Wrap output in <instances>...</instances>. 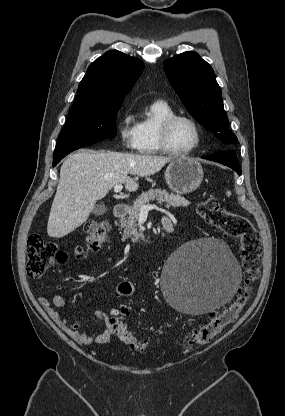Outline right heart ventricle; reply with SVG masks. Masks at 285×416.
I'll return each instance as SVG.
<instances>
[{
  "instance_id": "right-heart-ventricle-1",
  "label": "right heart ventricle",
  "mask_w": 285,
  "mask_h": 416,
  "mask_svg": "<svg viewBox=\"0 0 285 416\" xmlns=\"http://www.w3.org/2000/svg\"><path fill=\"white\" fill-rule=\"evenodd\" d=\"M172 114H174V111L169 103L166 100L157 99L152 102L148 112L138 118L141 152L147 154L163 152L159 141V126L166 117Z\"/></svg>"
}]
</instances>
